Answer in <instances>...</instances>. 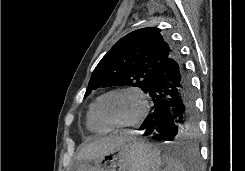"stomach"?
<instances>
[{
  "label": "stomach",
  "mask_w": 245,
  "mask_h": 171,
  "mask_svg": "<svg viewBox=\"0 0 245 171\" xmlns=\"http://www.w3.org/2000/svg\"><path fill=\"white\" fill-rule=\"evenodd\" d=\"M163 165L155 146L133 137L92 162H80L74 171H163Z\"/></svg>",
  "instance_id": "stomach-1"
}]
</instances>
